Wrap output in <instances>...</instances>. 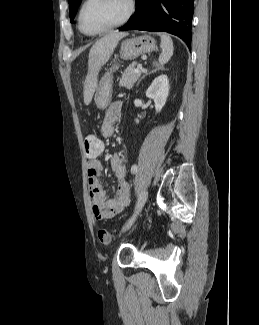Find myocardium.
Segmentation results:
<instances>
[{
    "label": "myocardium",
    "instance_id": "obj_1",
    "mask_svg": "<svg viewBox=\"0 0 259 325\" xmlns=\"http://www.w3.org/2000/svg\"><path fill=\"white\" fill-rule=\"evenodd\" d=\"M91 0H85L80 9H79V13H78V27L79 29L81 30L82 33H84L85 35H88V36H98V35H102L106 32H109L113 29H116L122 25H124L126 22L129 21V19L133 16L134 14V11H135V0H127V3H128V9H127V12L126 14L124 15V17L118 21L117 23L103 29V30H100V31H97V32H88L84 26H83V22H82V17H83V11L85 9V7L87 6V4L90 2Z\"/></svg>",
    "mask_w": 259,
    "mask_h": 325
}]
</instances>
